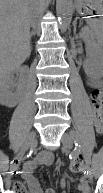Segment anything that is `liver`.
Wrapping results in <instances>:
<instances>
[{
	"label": "liver",
	"mask_w": 103,
	"mask_h": 193,
	"mask_svg": "<svg viewBox=\"0 0 103 193\" xmlns=\"http://www.w3.org/2000/svg\"><path fill=\"white\" fill-rule=\"evenodd\" d=\"M36 0H1L0 71L8 74L30 56L31 14Z\"/></svg>",
	"instance_id": "liver-1"
}]
</instances>
